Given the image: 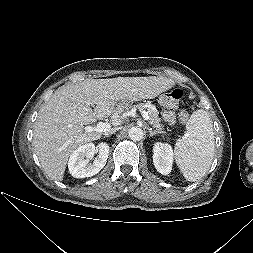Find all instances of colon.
Returning <instances> with one entry per match:
<instances>
[{
    "mask_svg": "<svg viewBox=\"0 0 253 253\" xmlns=\"http://www.w3.org/2000/svg\"><path fill=\"white\" fill-rule=\"evenodd\" d=\"M183 92L179 89L172 91L171 93L165 95L164 101L167 104L176 103L181 100ZM189 114L186 110H181L179 113V119L182 123H185L188 120Z\"/></svg>",
    "mask_w": 253,
    "mask_h": 253,
    "instance_id": "obj_1",
    "label": "colon"
}]
</instances>
